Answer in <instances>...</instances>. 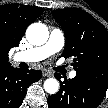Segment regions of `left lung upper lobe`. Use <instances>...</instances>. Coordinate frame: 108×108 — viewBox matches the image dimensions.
I'll return each mask as SVG.
<instances>
[{"mask_svg":"<svg viewBox=\"0 0 108 108\" xmlns=\"http://www.w3.org/2000/svg\"><path fill=\"white\" fill-rule=\"evenodd\" d=\"M65 33L62 56L74 57L77 73L108 70V31L93 16L77 8L52 11Z\"/></svg>","mask_w":108,"mask_h":108,"instance_id":"1","label":"left lung upper lobe"}]
</instances>
